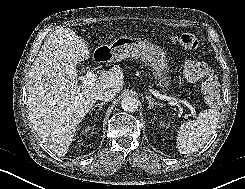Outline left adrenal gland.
Wrapping results in <instances>:
<instances>
[{"instance_id": "obj_1", "label": "left adrenal gland", "mask_w": 245, "mask_h": 189, "mask_svg": "<svg viewBox=\"0 0 245 189\" xmlns=\"http://www.w3.org/2000/svg\"><path fill=\"white\" fill-rule=\"evenodd\" d=\"M146 99L148 100V102H149V106H148V108H153L154 107V105H158V106H162V104L161 103H159V102H157V101H154V100H152L148 95H146Z\"/></svg>"}]
</instances>
